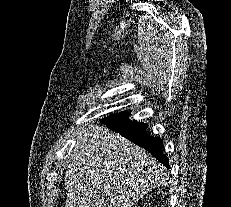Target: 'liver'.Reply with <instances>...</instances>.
Listing matches in <instances>:
<instances>
[{"mask_svg": "<svg viewBox=\"0 0 231 207\" xmlns=\"http://www.w3.org/2000/svg\"><path fill=\"white\" fill-rule=\"evenodd\" d=\"M68 160L64 207H132L166 178L147 151L100 125L81 129Z\"/></svg>", "mask_w": 231, "mask_h": 207, "instance_id": "6515ba94", "label": "liver"}]
</instances>
